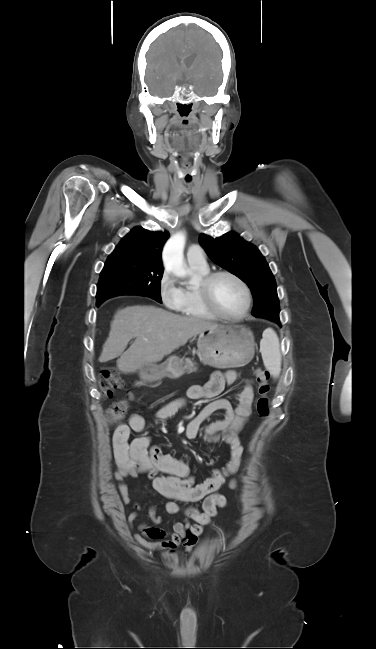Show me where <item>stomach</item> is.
I'll list each match as a JSON object with an SVG mask.
<instances>
[{
  "label": "stomach",
  "instance_id": "1",
  "mask_svg": "<svg viewBox=\"0 0 376 649\" xmlns=\"http://www.w3.org/2000/svg\"><path fill=\"white\" fill-rule=\"evenodd\" d=\"M197 346L202 362L220 369L244 366L254 356L253 333L240 325L219 326L202 331ZM184 371L183 359L173 355L159 366L140 368V378L145 382H155L166 376L176 379Z\"/></svg>",
  "mask_w": 376,
  "mask_h": 649
}]
</instances>
